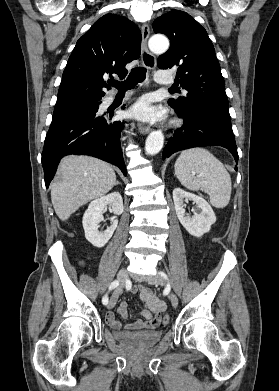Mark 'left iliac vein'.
Instances as JSON below:
<instances>
[{
  "instance_id": "4c4485c4",
  "label": "left iliac vein",
  "mask_w": 279,
  "mask_h": 391,
  "mask_svg": "<svg viewBox=\"0 0 279 391\" xmlns=\"http://www.w3.org/2000/svg\"><path fill=\"white\" fill-rule=\"evenodd\" d=\"M148 282L152 285H159V286H164L166 284L165 279L162 276H154L153 278H150ZM169 299L171 301V304L174 308L178 306V298L175 293L171 292Z\"/></svg>"
}]
</instances>
